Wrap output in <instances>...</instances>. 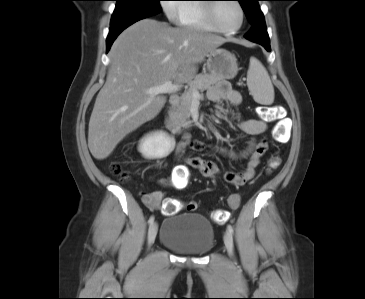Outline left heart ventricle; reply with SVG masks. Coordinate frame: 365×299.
<instances>
[{
	"label": "left heart ventricle",
	"mask_w": 365,
	"mask_h": 299,
	"mask_svg": "<svg viewBox=\"0 0 365 299\" xmlns=\"http://www.w3.org/2000/svg\"><path fill=\"white\" fill-rule=\"evenodd\" d=\"M216 23L224 29H234L241 21L240 10L234 2L220 3L215 12Z\"/></svg>",
	"instance_id": "b2bd125f"
}]
</instances>
